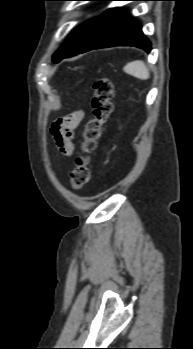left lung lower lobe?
Segmentation results:
<instances>
[{"instance_id":"0a47b994","label":"left lung lower lobe","mask_w":193,"mask_h":349,"mask_svg":"<svg viewBox=\"0 0 193 349\" xmlns=\"http://www.w3.org/2000/svg\"><path fill=\"white\" fill-rule=\"evenodd\" d=\"M127 45L147 52L151 50V44L142 33L139 23L123 11L109 9L91 23L72 49L53 61L58 63L63 58L93 49Z\"/></svg>"}]
</instances>
